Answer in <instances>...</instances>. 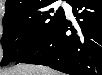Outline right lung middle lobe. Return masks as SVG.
<instances>
[{
  "label": "right lung middle lobe",
  "instance_id": "dd1d6c3e",
  "mask_svg": "<svg viewBox=\"0 0 102 75\" xmlns=\"http://www.w3.org/2000/svg\"><path fill=\"white\" fill-rule=\"evenodd\" d=\"M54 1L37 8L4 15L1 66L16 62L41 44L64 19V10L52 8Z\"/></svg>",
  "mask_w": 102,
  "mask_h": 75
}]
</instances>
